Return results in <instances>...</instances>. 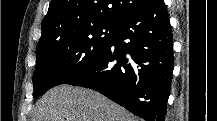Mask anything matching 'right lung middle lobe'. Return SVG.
<instances>
[{"instance_id": "right-lung-middle-lobe-1", "label": "right lung middle lobe", "mask_w": 217, "mask_h": 121, "mask_svg": "<svg viewBox=\"0 0 217 121\" xmlns=\"http://www.w3.org/2000/svg\"><path fill=\"white\" fill-rule=\"evenodd\" d=\"M118 27L98 23L80 27L36 49L34 97L84 72L107 48Z\"/></svg>"}]
</instances>
